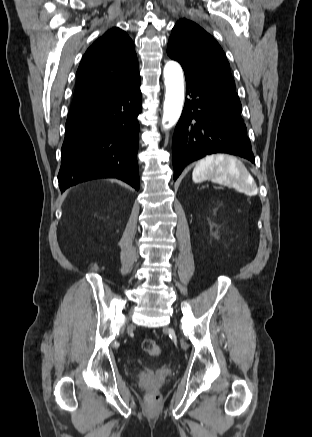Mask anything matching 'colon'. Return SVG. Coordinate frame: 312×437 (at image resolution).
Segmentation results:
<instances>
[{
  "instance_id": "colon-1",
  "label": "colon",
  "mask_w": 312,
  "mask_h": 437,
  "mask_svg": "<svg viewBox=\"0 0 312 437\" xmlns=\"http://www.w3.org/2000/svg\"><path fill=\"white\" fill-rule=\"evenodd\" d=\"M142 349L153 357H158L161 354V348L159 344L152 339H144L142 341ZM147 399L149 401H157L159 399V394L151 391L147 394Z\"/></svg>"
}]
</instances>
